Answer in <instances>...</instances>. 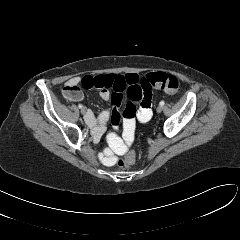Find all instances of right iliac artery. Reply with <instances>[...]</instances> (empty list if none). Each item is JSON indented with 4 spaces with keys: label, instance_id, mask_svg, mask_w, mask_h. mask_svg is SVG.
Wrapping results in <instances>:
<instances>
[{
    "label": "right iliac artery",
    "instance_id": "obj_1",
    "mask_svg": "<svg viewBox=\"0 0 240 240\" xmlns=\"http://www.w3.org/2000/svg\"><path fill=\"white\" fill-rule=\"evenodd\" d=\"M78 107L81 109L83 107V105L82 104H78Z\"/></svg>",
    "mask_w": 240,
    "mask_h": 240
}]
</instances>
